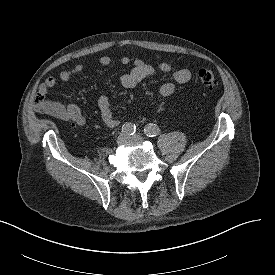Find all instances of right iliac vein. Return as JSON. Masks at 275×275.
I'll list each match as a JSON object with an SVG mask.
<instances>
[{
    "mask_svg": "<svg viewBox=\"0 0 275 275\" xmlns=\"http://www.w3.org/2000/svg\"><path fill=\"white\" fill-rule=\"evenodd\" d=\"M130 140H131V137L128 134L123 132L117 138V143L119 145H123V144H126V143L130 142Z\"/></svg>",
    "mask_w": 275,
    "mask_h": 275,
    "instance_id": "1",
    "label": "right iliac vein"
}]
</instances>
